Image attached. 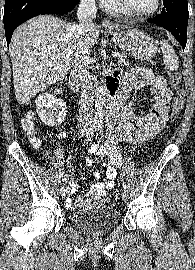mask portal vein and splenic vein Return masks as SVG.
<instances>
[{"label": "portal vein and splenic vein", "mask_w": 195, "mask_h": 270, "mask_svg": "<svg viewBox=\"0 0 195 270\" xmlns=\"http://www.w3.org/2000/svg\"><path fill=\"white\" fill-rule=\"evenodd\" d=\"M119 56V53L118 52H114L113 53V57H118Z\"/></svg>", "instance_id": "1"}]
</instances>
